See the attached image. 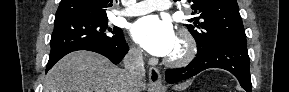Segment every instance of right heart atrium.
Here are the masks:
<instances>
[{
  "label": "right heart atrium",
  "instance_id": "1",
  "mask_svg": "<svg viewBox=\"0 0 289 92\" xmlns=\"http://www.w3.org/2000/svg\"><path fill=\"white\" fill-rule=\"evenodd\" d=\"M129 57L134 61L142 60V51L135 45H131L128 51Z\"/></svg>",
  "mask_w": 289,
  "mask_h": 92
}]
</instances>
